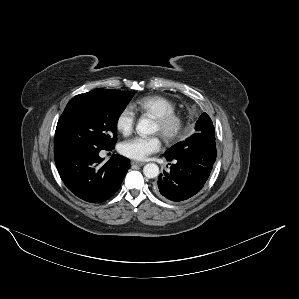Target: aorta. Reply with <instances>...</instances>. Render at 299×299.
Masks as SVG:
<instances>
[{
	"label": "aorta",
	"mask_w": 299,
	"mask_h": 299,
	"mask_svg": "<svg viewBox=\"0 0 299 299\" xmlns=\"http://www.w3.org/2000/svg\"><path fill=\"white\" fill-rule=\"evenodd\" d=\"M157 128L154 122L147 118H142L136 125V131L139 135H151ZM143 174L147 178H155L159 174V167L155 163H148L143 167Z\"/></svg>",
	"instance_id": "aorta-1"
}]
</instances>
